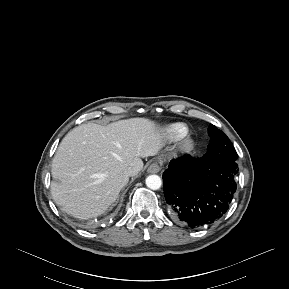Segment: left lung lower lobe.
Instances as JSON below:
<instances>
[{"mask_svg":"<svg viewBox=\"0 0 289 289\" xmlns=\"http://www.w3.org/2000/svg\"><path fill=\"white\" fill-rule=\"evenodd\" d=\"M237 163H217L206 154L170 161L163 173L164 195L173 213L191 228L212 224L222 217L236 191Z\"/></svg>","mask_w":289,"mask_h":289,"instance_id":"0a47b994","label":"left lung lower lobe"}]
</instances>
